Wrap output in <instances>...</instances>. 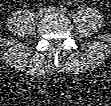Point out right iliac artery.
<instances>
[{
    "mask_svg": "<svg viewBox=\"0 0 111 106\" xmlns=\"http://www.w3.org/2000/svg\"><path fill=\"white\" fill-rule=\"evenodd\" d=\"M56 7L54 5L48 6V11H54Z\"/></svg>",
    "mask_w": 111,
    "mask_h": 106,
    "instance_id": "right-iliac-artery-1",
    "label": "right iliac artery"
}]
</instances>
